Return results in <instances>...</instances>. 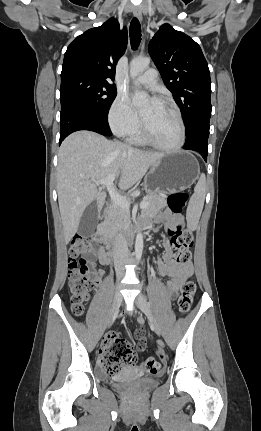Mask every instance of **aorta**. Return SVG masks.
<instances>
[{"instance_id": "1", "label": "aorta", "mask_w": 261, "mask_h": 431, "mask_svg": "<svg viewBox=\"0 0 261 431\" xmlns=\"http://www.w3.org/2000/svg\"><path fill=\"white\" fill-rule=\"evenodd\" d=\"M150 64V59L147 57L143 58H134L130 63V75L132 78H135L140 73L144 72ZM148 100V95L145 92H141L135 90L133 101L137 105L144 104ZM143 251V235L142 233H138L135 241V256L136 260H140Z\"/></svg>"}]
</instances>
